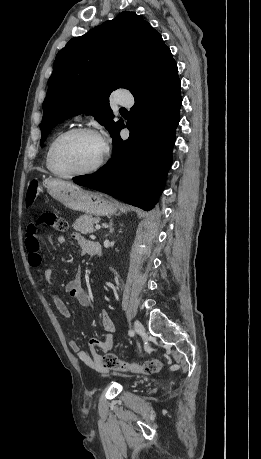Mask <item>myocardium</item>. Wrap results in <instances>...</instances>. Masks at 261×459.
Returning a JSON list of instances; mask_svg holds the SVG:
<instances>
[{
	"mask_svg": "<svg viewBox=\"0 0 261 459\" xmlns=\"http://www.w3.org/2000/svg\"><path fill=\"white\" fill-rule=\"evenodd\" d=\"M77 134H87V135H91V136H94V137H97L98 139H100L102 141V143H103V153H102V155L100 156V158L92 166H90V167H88L86 169H83V170H80V171H75V172H69V173L58 171L55 168L54 162H53L54 161V153H55L56 147L58 146V144L63 139H65V138H67L69 136H72V135H77ZM108 155H109L108 146L106 145V143L104 142L103 138L101 137V135L96 130H94L92 128H89V127H74V128H70L68 130L63 131L62 133H60L59 135H57L55 137V139L52 141V143L50 145V148H49L47 163H48L49 170L53 174H55V175H57L59 177H63V178H72V177L84 176V175H89V174L95 173L96 171H98L103 166V164L105 163V161L108 158Z\"/></svg>",
	"mask_w": 261,
	"mask_h": 459,
	"instance_id": "f54148a6",
	"label": "myocardium"
}]
</instances>
